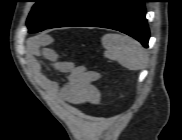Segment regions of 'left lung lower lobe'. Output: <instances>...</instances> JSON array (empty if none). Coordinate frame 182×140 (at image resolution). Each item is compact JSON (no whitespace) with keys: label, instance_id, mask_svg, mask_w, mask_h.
I'll use <instances>...</instances> for the list:
<instances>
[{"label":"left lung lower lobe","instance_id":"1","mask_svg":"<svg viewBox=\"0 0 182 140\" xmlns=\"http://www.w3.org/2000/svg\"><path fill=\"white\" fill-rule=\"evenodd\" d=\"M144 2L145 0H104L70 26L119 30L137 39L147 48L149 28L145 18Z\"/></svg>","mask_w":182,"mask_h":140}]
</instances>
